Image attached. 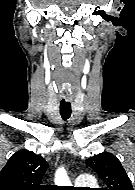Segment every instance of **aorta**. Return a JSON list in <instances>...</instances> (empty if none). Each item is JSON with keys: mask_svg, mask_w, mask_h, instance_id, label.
<instances>
[{"mask_svg": "<svg viewBox=\"0 0 135 190\" xmlns=\"http://www.w3.org/2000/svg\"><path fill=\"white\" fill-rule=\"evenodd\" d=\"M57 183L59 184H64L66 186H70V181L63 169H60L57 173Z\"/></svg>", "mask_w": 135, "mask_h": 190, "instance_id": "762f6f07", "label": "aorta"}]
</instances>
